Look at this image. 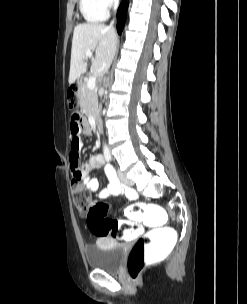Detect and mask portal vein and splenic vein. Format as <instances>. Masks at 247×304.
<instances>
[{"label":"portal vein and splenic vein","instance_id":"portal-vein-and-splenic-vein-1","mask_svg":"<svg viewBox=\"0 0 247 304\" xmlns=\"http://www.w3.org/2000/svg\"><path fill=\"white\" fill-rule=\"evenodd\" d=\"M85 57L91 58L92 57V52L87 51L85 53ZM87 86L90 90H95L96 89V77L90 76L87 80Z\"/></svg>","mask_w":247,"mask_h":304}]
</instances>
